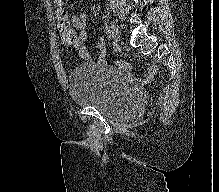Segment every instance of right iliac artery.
I'll use <instances>...</instances> for the list:
<instances>
[{
    "mask_svg": "<svg viewBox=\"0 0 219 192\" xmlns=\"http://www.w3.org/2000/svg\"><path fill=\"white\" fill-rule=\"evenodd\" d=\"M104 29H105V32H106L108 38L111 40L113 38L112 30L110 29V27L108 25H105Z\"/></svg>",
    "mask_w": 219,
    "mask_h": 192,
    "instance_id": "obj_1",
    "label": "right iliac artery"
}]
</instances>
